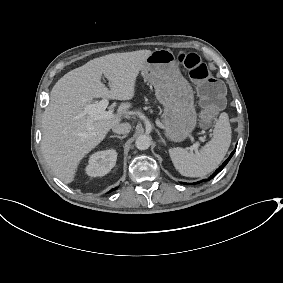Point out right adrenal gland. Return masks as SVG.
I'll return each instance as SVG.
<instances>
[{"label":"right adrenal gland","mask_w":283,"mask_h":283,"mask_svg":"<svg viewBox=\"0 0 283 283\" xmlns=\"http://www.w3.org/2000/svg\"><path fill=\"white\" fill-rule=\"evenodd\" d=\"M114 137L119 138V139H124V138L127 137V134H125V135H123V136H119V135H111V136H110V138H114Z\"/></svg>","instance_id":"right-adrenal-gland-1"}]
</instances>
